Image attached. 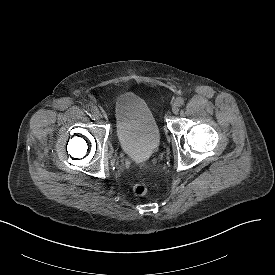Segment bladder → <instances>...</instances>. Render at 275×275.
I'll return each mask as SVG.
<instances>
[{
	"label": "bladder",
	"instance_id": "1",
	"mask_svg": "<svg viewBox=\"0 0 275 275\" xmlns=\"http://www.w3.org/2000/svg\"><path fill=\"white\" fill-rule=\"evenodd\" d=\"M114 116L120 149L137 161L150 158L158 149L161 137L146 101L133 92H124L115 100Z\"/></svg>",
	"mask_w": 275,
	"mask_h": 275
}]
</instances>
